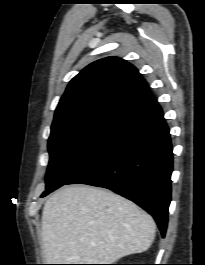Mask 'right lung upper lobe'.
I'll list each match as a JSON object with an SVG mask.
<instances>
[{"label":"right lung upper lobe","instance_id":"obj_1","mask_svg":"<svg viewBox=\"0 0 205 265\" xmlns=\"http://www.w3.org/2000/svg\"><path fill=\"white\" fill-rule=\"evenodd\" d=\"M156 103L132 64L107 57L70 81L55 110L51 133L101 122L126 125Z\"/></svg>","mask_w":205,"mask_h":265}]
</instances>
